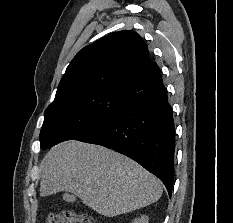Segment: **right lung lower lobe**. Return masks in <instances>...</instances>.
Here are the masks:
<instances>
[{
    "label": "right lung lower lobe",
    "mask_w": 233,
    "mask_h": 223,
    "mask_svg": "<svg viewBox=\"0 0 233 223\" xmlns=\"http://www.w3.org/2000/svg\"><path fill=\"white\" fill-rule=\"evenodd\" d=\"M122 108L79 140L113 149L157 176L172 193L174 121L161 74L121 89Z\"/></svg>",
    "instance_id": "obj_1"
}]
</instances>
